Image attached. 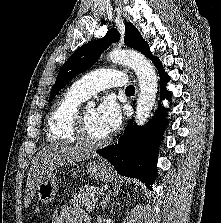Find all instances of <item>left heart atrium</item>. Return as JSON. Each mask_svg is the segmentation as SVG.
Listing matches in <instances>:
<instances>
[{
    "label": "left heart atrium",
    "instance_id": "obj_1",
    "mask_svg": "<svg viewBox=\"0 0 221 223\" xmlns=\"http://www.w3.org/2000/svg\"><path fill=\"white\" fill-rule=\"evenodd\" d=\"M96 118L100 129L109 135L121 124L123 114L121 107L112 96H107L96 110Z\"/></svg>",
    "mask_w": 221,
    "mask_h": 223
}]
</instances>
